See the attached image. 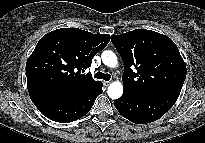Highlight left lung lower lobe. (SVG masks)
<instances>
[{"label":"left lung lower lobe","instance_id":"0a47b994","mask_svg":"<svg viewBox=\"0 0 205 143\" xmlns=\"http://www.w3.org/2000/svg\"><path fill=\"white\" fill-rule=\"evenodd\" d=\"M180 89L169 88L144 94H132L124 91L114 101L118 112L136 124H145L158 120L176 102Z\"/></svg>","mask_w":205,"mask_h":143}]
</instances>
